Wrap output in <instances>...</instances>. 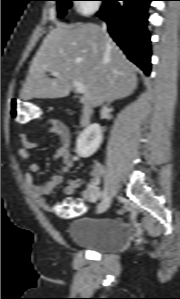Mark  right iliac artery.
Masks as SVG:
<instances>
[{"label": "right iliac artery", "mask_w": 180, "mask_h": 299, "mask_svg": "<svg viewBox=\"0 0 180 299\" xmlns=\"http://www.w3.org/2000/svg\"><path fill=\"white\" fill-rule=\"evenodd\" d=\"M106 196H107V192H106V190H103L102 194H101V199L104 200L106 198Z\"/></svg>", "instance_id": "obj_1"}]
</instances>
